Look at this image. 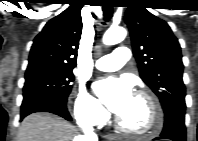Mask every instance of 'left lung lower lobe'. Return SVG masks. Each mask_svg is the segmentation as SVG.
Segmentation results:
<instances>
[{"instance_id": "1", "label": "left lung lower lobe", "mask_w": 198, "mask_h": 141, "mask_svg": "<svg viewBox=\"0 0 198 141\" xmlns=\"http://www.w3.org/2000/svg\"><path fill=\"white\" fill-rule=\"evenodd\" d=\"M185 104H177L165 112V123L160 137L156 139H169L172 141H185L186 129L184 124Z\"/></svg>"}]
</instances>
